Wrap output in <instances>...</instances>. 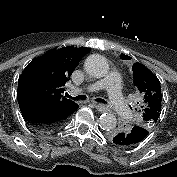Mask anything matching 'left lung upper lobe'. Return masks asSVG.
Returning <instances> with one entry per match:
<instances>
[{"label":"left lung upper lobe","instance_id":"obj_1","mask_svg":"<svg viewBox=\"0 0 177 177\" xmlns=\"http://www.w3.org/2000/svg\"><path fill=\"white\" fill-rule=\"evenodd\" d=\"M135 86L140 94L141 118L137 125L151 130L161 113V86L158 78L140 63L133 64Z\"/></svg>","mask_w":177,"mask_h":177}]
</instances>
